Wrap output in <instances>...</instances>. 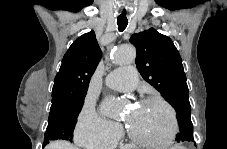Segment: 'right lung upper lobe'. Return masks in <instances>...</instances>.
<instances>
[{
    "label": "right lung upper lobe",
    "mask_w": 227,
    "mask_h": 149,
    "mask_svg": "<svg viewBox=\"0 0 227 149\" xmlns=\"http://www.w3.org/2000/svg\"><path fill=\"white\" fill-rule=\"evenodd\" d=\"M101 54L94 31L77 38L63 57L54 80L52 97L86 95Z\"/></svg>",
    "instance_id": "right-lung-upper-lobe-1"
}]
</instances>
